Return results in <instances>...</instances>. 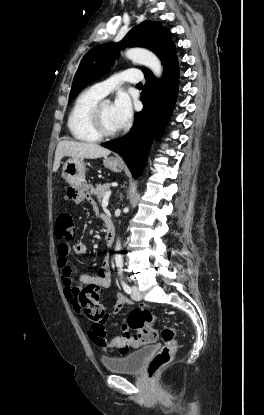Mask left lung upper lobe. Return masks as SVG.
Returning a JSON list of instances; mask_svg holds the SVG:
<instances>
[{
	"instance_id": "obj_1",
	"label": "left lung upper lobe",
	"mask_w": 264,
	"mask_h": 415,
	"mask_svg": "<svg viewBox=\"0 0 264 415\" xmlns=\"http://www.w3.org/2000/svg\"><path fill=\"white\" fill-rule=\"evenodd\" d=\"M170 31L159 22L144 21L135 26L119 43L103 44L90 50L82 59L74 76L69 102L90 82L102 77L110 69L119 50L130 45L145 47L153 51L165 66L175 56V45L170 38ZM145 75L152 73L142 70Z\"/></svg>"
}]
</instances>
